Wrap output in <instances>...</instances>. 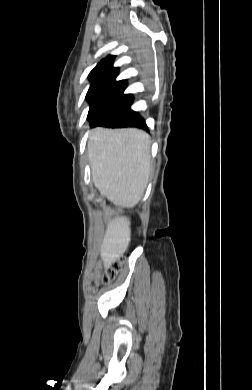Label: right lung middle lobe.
Masks as SVG:
<instances>
[{"mask_svg":"<svg viewBox=\"0 0 252 390\" xmlns=\"http://www.w3.org/2000/svg\"><path fill=\"white\" fill-rule=\"evenodd\" d=\"M132 101H100L90 105L88 120L90 126H101L130 108Z\"/></svg>","mask_w":252,"mask_h":390,"instance_id":"right-lung-middle-lobe-1","label":"right lung middle lobe"}]
</instances>
